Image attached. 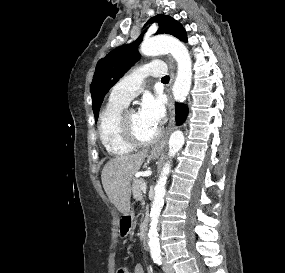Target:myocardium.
Listing matches in <instances>:
<instances>
[{
  "label": "myocardium",
  "instance_id": "obj_1",
  "mask_svg": "<svg viewBox=\"0 0 285 273\" xmlns=\"http://www.w3.org/2000/svg\"><path fill=\"white\" fill-rule=\"evenodd\" d=\"M131 110L124 111L120 115L119 119V130L121 137L127 142L129 145L133 147H146L156 143L163 135L162 129H158L157 133L154 137L148 140L140 139L134 132L133 128L130 126L127 120V115Z\"/></svg>",
  "mask_w": 285,
  "mask_h": 273
}]
</instances>
